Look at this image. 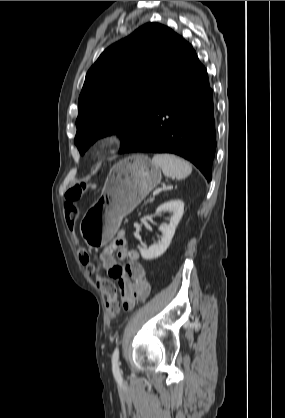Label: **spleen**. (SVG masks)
<instances>
[{
    "label": "spleen",
    "instance_id": "spleen-1",
    "mask_svg": "<svg viewBox=\"0 0 285 418\" xmlns=\"http://www.w3.org/2000/svg\"><path fill=\"white\" fill-rule=\"evenodd\" d=\"M152 162L162 169L166 177L180 180L192 172V166L187 161L172 154H155Z\"/></svg>",
    "mask_w": 285,
    "mask_h": 418
}]
</instances>
